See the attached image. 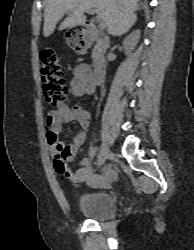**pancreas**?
Segmentation results:
<instances>
[{
    "mask_svg": "<svg viewBox=\"0 0 194 250\" xmlns=\"http://www.w3.org/2000/svg\"><path fill=\"white\" fill-rule=\"evenodd\" d=\"M104 49H105L104 41L101 39L97 40V42L93 48V51H92V59L93 60L98 59Z\"/></svg>",
    "mask_w": 194,
    "mask_h": 250,
    "instance_id": "cf45deb5",
    "label": "pancreas"
}]
</instances>
